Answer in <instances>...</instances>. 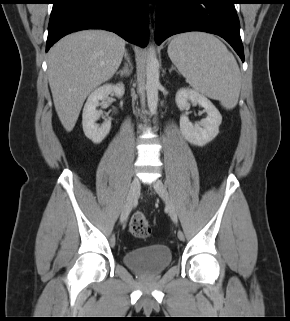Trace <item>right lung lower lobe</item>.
<instances>
[{
    "label": "right lung lower lobe",
    "instance_id": "right-lung-lower-lobe-1",
    "mask_svg": "<svg viewBox=\"0 0 290 321\" xmlns=\"http://www.w3.org/2000/svg\"><path fill=\"white\" fill-rule=\"evenodd\" d=\"M149 0H53L46 51L63 36L84 29H104L145 47Z\"/></svg>",
    "mask_w": 290,
    "mask_h": 321
}]
</instances>
